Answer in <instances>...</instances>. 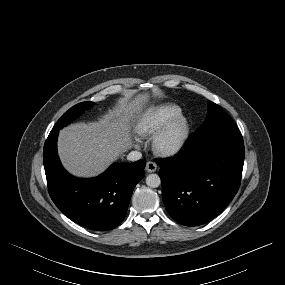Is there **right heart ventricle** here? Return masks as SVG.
Here are the masks:
<instances>
[{
    "instance_id": "1",
    "label": "right heart ventricle",
    "mask_w": 285,
    "mask_h": 285,
    "mask_svg": "<svg viewBox=\"0 0 285 285\" xmlns=\"http://www.w3.org/2000/svg\"><path fill=\"white\" fill-rule=\"evenodd\" d=\"M181 113L178 105L160 103L144 110L138 117L135 128L143 137L155 135L172 117Z\"/></svg>"
}]
</instances>
